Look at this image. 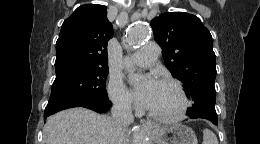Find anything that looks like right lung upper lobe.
Returning a JSON list of instances; mask_svg holds the SVG:
<instances>
[{
	"mask_svg": "<svg viewBox=\"0 0 260 144\" xmlns=\"http://www.w3.org/2000/svg\"><path fill=\"white\" fill-rule=\"evenodd\" d=\"M106 14V6L85 4L64 21L56 42L55 68L108 66L107 42L113 29Z\"/></svg>",
	"mask_w": 260,
	"mask_h": 144,
	"instance_id": "right-lung-upper-lobe-1",
	"label": "right lung upper lobe"
}]
</instances>
